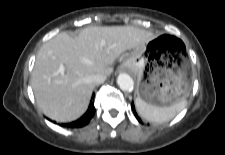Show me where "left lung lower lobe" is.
<instances>
[{
  "label": "left lung lower lobe",
  "mask_w": 225,
  "mask_h": 155,
  "mask_svg": "<svg viewBox=\"0 0 225 155\" xmlns=\"http://www.w3.org/2000/svg\"><path fill=\"white\" fill-rule=\"evenodd\" d=\"M132 108H133V112L136 116V118L138 119L139 122H141V119L138 117L137 113L135 112V108H134V104L132 103Z\"/></svg>",
  "instance_id": "left-lung-lower-lobe-1"
}]
</instances>
